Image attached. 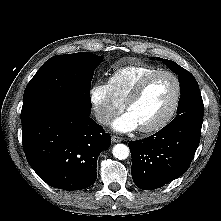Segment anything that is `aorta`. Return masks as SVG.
I'll return each mask as SVG.
<instances>
[{
    "instance_id": "aorta-1",
    "label": "aorta",
    "mask_w": 221,
    "mask_h": 221,
    "mask_svg": "<svg viewBox=\"0 0 221 221\" xmlns=\"http://www.w3.org/2000/svg\"><path fill=\"white\" fill-rule=\"evenodd\" d=\"M113 156L119 160H124L129 156L130 150L124 144H116L112 149Z\"/></svg>"
}]
</instances>
